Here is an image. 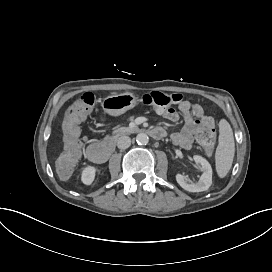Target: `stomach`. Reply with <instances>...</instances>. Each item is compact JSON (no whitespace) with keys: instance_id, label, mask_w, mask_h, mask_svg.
<instances>
[{"instance_id":"obj_1","label":"stomach","mask_w":272,"mask_h":272,"mask_svg":"<svg viewBox=\"0 0 272 272\" xmlns=\"http://www.w3.org/2000/svg\"><path fill=\"white\" fill-rule=\"evenodd\" d=\"M135 103L136 98L132 94L124 93L105 98L103 108L111 115H119L133 107Z\"/></svg>"}]
</instances>
